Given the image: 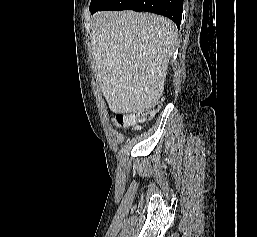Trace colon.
<instances>
[{
  "label": "colon",
  "mask_w": 257,
  "mask_h": 237,
  "mask_svg": "<svg viewBox=\"0 0 257 237\" xmlns=\"http://www.w3.org/2000/svg\"><path fill=\"white\" fill-rule=\"evenodd\" d=\"M158 106L140 110L134 113H118L115 117V124L118 127H136L138 123H142L150 119L157 111Z\"/></svg>",
  "instance_id": "1"
}]
</instances>
